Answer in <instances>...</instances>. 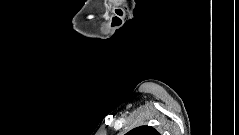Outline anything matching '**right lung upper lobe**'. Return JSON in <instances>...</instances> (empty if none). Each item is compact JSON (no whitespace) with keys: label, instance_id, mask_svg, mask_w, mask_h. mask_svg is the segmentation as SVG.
Returning <instances> with one entry per match:
<instances>
[{"label":"right lung upper lobe","instance_id":"1","mask_svg":"<svg viewBox=\"0 0 239 135\" xmlns=\"http://www.w3.org/2000/svg\"><path fill=\"white\" fill-rule=\"evenodd\" d=\"M126 135H160L153 127L140 126L132 129Z\"/></svg>","mask_w":239,"mask_h":135}]
</instances>
